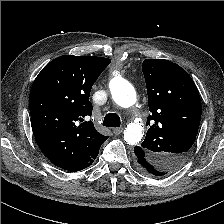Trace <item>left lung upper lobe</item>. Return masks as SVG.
Segmentation results:
<instances>
[{"instance_id": "obj_1", "label": "left lung upper lobe", "mask_w": 224, "mask_h": 224, "mask_svg": "<svg viewBox=\"0 0 224 224\" xmlns=\"http://www.w3.org/2000/svg\"><path fill=\"white\" fill-rule=\"evenodd\" d=\"M142 70L152 114L139 148L160 173L151 177H161L176 171L188 156L200 125L201 100L195 83L179 65L145 59Z\"/></svg>"}]
</instances>
